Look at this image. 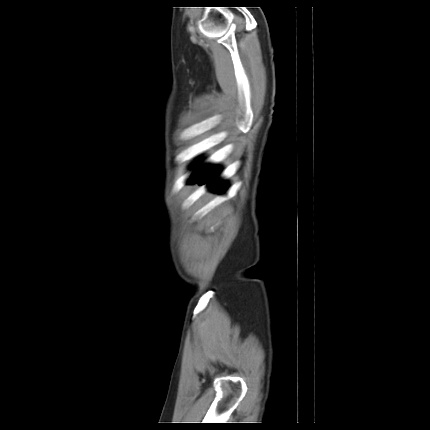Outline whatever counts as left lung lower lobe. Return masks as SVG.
I'll list each match as a JSON object with an SVG mask.
<instances>
[{
    "label": "left lung lower lobe",
    "instance_id": "left-lung-lower-lobe-1",
    "mask_svg": "<svg viewBox=\"0 0 430 430\" xmlns=\"http://www.w3.org/2000/svg\"><path fill=\"white\" fill-rule=\"evenodd\" d=\"M218 173L219 170H217L213 166H203L202 168L194 172L188 183L198 182L201 185L208 182V186L210 189L223 193L226 190L225 185L222 183H217L214 180Z\"/></svg>",
    "mask_w": 430,
    "mask_h": 430
}]
</instances>
